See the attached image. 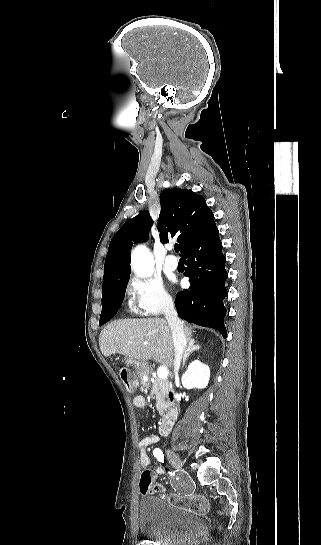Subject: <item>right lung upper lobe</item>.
Segmentation results:
<instances>
[{
  "label": "right lung upper lobe",
  "mask_w": 321,
  "mask_h": 545,
  "mask_svg": "<svg viewBox=\"0 0 321 545\" xmlns=\"http://www.w3.org/2000/svg\"><path fill=\"white\" fill-rule=\"evenodd\" d=\"M161 211L158 229L161 242L176 239L181 245V255L215 225L214 215L203 196L192 190L173 188L160 194ZM152 219L143 211L128 220L113 236L105 259L102 291L119 285L130 275V249L134 243L145 242L149 237Z\"/></svg>",
  "instance_id": "right-lung-upper-lobe-1"
}]
</instances>
